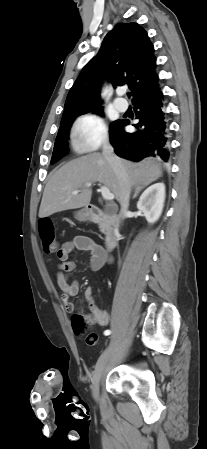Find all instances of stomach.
<instances>
[{
  "instance_id": "obj_1",
  "label": "stomach",
  "mask_w": 207,
  "mask_h": 449,
  "mask_svg": "<svg viewBox=\"0 0 207 449\" xmlns=\"http://www.w3.org/2000/svg\"><path fill=\"white\" fill-rule=\"evenodd\" d=\"M89 217H90V213L88 212V210L86 208L81 209L75 213V218L78 221H86L89 219Z\"/></svg>"
}]
</instances>
